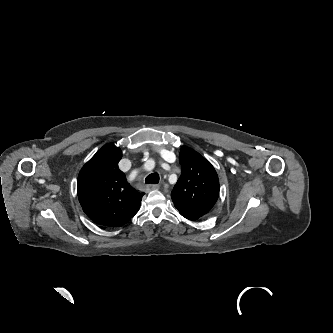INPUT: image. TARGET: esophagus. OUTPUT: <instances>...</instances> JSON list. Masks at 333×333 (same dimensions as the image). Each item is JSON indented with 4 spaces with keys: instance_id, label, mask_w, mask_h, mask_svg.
Returning <instances> with one entry per match:
<instances>
[{
    "instance_id": "esophagus-1",
    "label": "esophagus",
    "mask_w": 333,
    "mask_h": 333,
    "mask_svg": "<svg viewBox=\"0 0 333 333\" xmlns=\"http://www.w3.org/2000/svg\"><path fill=\"white\" fill-rule=\"evenodd\" d=\"M159 188H160V186L157 184H149V185H147L146 190H147V192H149L151 190H157Z\"/></svg>"
}]
</instances>
